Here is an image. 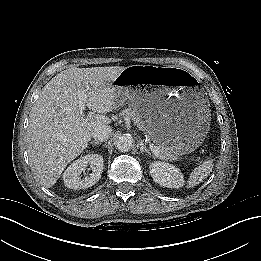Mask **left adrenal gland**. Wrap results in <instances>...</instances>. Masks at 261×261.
Listing matches in <instances>:
<instances>
[{"mask_svg":"<svg viewBox=\"0 0 261 261\" xmlns=\"http://www.w3.org/2000/svg\"><path fill=\"white\" fill-rule=\"evenodd\" d=\"M138 145H139L141 153H148L149 155H151L150 150L147 149V147L145 146V144L142 141H140Z\"/></svg>","mask_w":261,"mask_h":261,"instance_id":"left-adrenal-gland-1","label":"left adrenal gland"}]
</instances>
